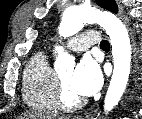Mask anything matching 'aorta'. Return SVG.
Returning a JSON list of instances; mask_svg holds the SVG:
<instances>
[{
    "label": "aorta",
    "instance_id": "762f6f07",
    "mask_svg": "<svg viewBox=\"0 0 142 119\" xmlns=\"http://www.w3.org/2000/svg\"><path fill=\"white\" fill-rule=\"evenodd\" d=\"M93 22H97L105 29L112 45L114 70L104 100V110L109 112L121 99L130 74L131 46L125 26L110 12L93 7L74 6L63 12L59 35L64 38L73 36L84 27V24ZM55 51L58 54L55 62L57 71L74 67V58L64 52L62 47H56Z\"/></svg>",
    "mask_w": 142,
    "mask_h": 119
}]
</instances>
